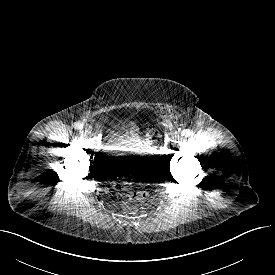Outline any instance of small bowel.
Returning a JSON list of instances; mask_svg holds the SVG:
<instances>
[{
	"instance_id": "1",
	"label": "small bowel",
	"mask_w": 275,
	"mask_h": 275,
	"mask_svg": "<svg viewBox=\"0 0 275 275\" xmlns=\"http://www.w3.org/2000/svg\"><path fill=\"white\" fill-rule=\"evenodd\" d=\"M130 130H135V128L133 126L130 127Z\"/></svg>"
}]
</instances>
